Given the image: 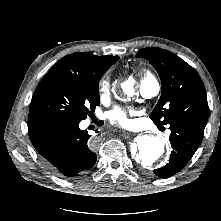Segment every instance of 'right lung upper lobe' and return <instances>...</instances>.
<instances>
[{
  "mask_svg": "<svg viewBox=\"0 0 221 221\" xmlns=\"http://www.w3.org/2000/svg\"><path fill=\"white\" fill-rule=\"evenodd\" d=\"M118 59L117 56L99 57L89 52H77L64 56L52 68H64L78 74L97 75L107 71Z\"/></svg>",
  "mask_w": 221,
  "mask_h": 221,
  "instance_id": "cb5924a9",
  "label": "right lung upper lobe"
}]
</instances>
